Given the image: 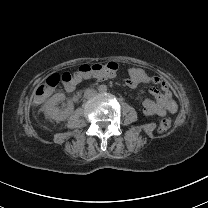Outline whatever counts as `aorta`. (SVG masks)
<instances>
[{
  "mask_svg": "<svg viewBox=\"0 0 208 208\" xmlns=\"http://www.w3.org/2000/svg\"><path fill=\"white\" fill-rule=\"evenodd\" d=\"M96 91H97L98 94L103 95L107 91V86L103 85V84H100V85L97 86Z\"/></svg>",
  "mask_w": 208,
  "mask_h": 208,
  "instance_id": "obj_1",
  "label": "aorta"
}]
</instances>
